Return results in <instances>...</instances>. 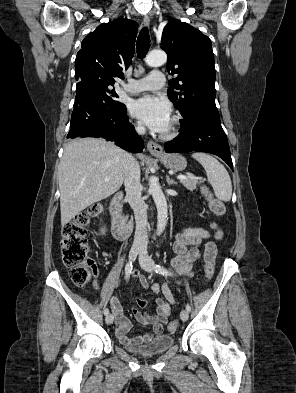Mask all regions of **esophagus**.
<instances>
[{"label": "esophagus", "mask_w": 296, "mask_h": 393, "mask_svg": "<svg viewBox=\"0 0 296 393\" xmlns=\"http://www.w3.org/2000/svg\"><path fill=\"white\" fill-rule=\"evenodd\" d=\"M143 23H144L145 26H149V24H150V19H149V17H148L147 15H145V16L143 17ZM147 149L149 150V152H150L152 155H155V156H156V155H161V154H162V151H163L161 145L157 144V143L154 142V141H148V143H147Z\"/></svg>", "instance_id": "obj_1"}]
</instances>
